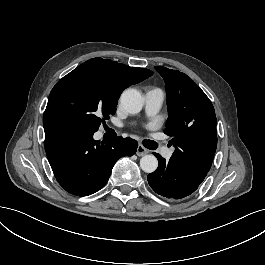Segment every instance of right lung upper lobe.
<instances>
[{
  "label": "right lung upper lobe",
  "mask_w": 265,
  "mask_h": 265,
  "mask_svg": "<svg viewBox=\"0 0 265 265\" xmlns=\"http://www.w3.org/2000/svg\"><path fill=\"white\" fill-rule=\"evenodd\" d=\"M89 61L99 64L122 91L130 85L139 83L153 74V72L148 69L129 67L109 59L93 58Z\"/></svg>",
  "instance_id": "cb5924a9"
}]
</instances>
